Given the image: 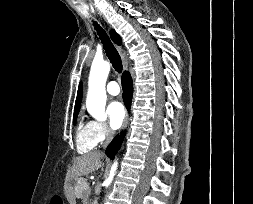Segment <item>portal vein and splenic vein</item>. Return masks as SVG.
<instances>
[{"label":"portal vein and splenic vein","mask_w":253,"mask_h":204,"mask_svg":"<svg viewBox=\"0 0 253 204\" xmlns=\"http://www.w3.org/2000/svg\"><path fill=\"white\" fill-rule=\"evenodd\" d=\"M84 187H85V188H88V187H89V183H86V184L84 185Z\"/></svg>","instance_id":"obj_1"}]
</instances>
